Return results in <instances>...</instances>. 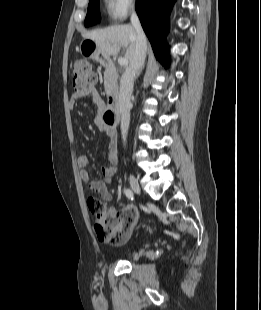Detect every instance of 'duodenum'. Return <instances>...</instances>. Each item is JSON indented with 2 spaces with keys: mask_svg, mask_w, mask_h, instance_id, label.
I'll list each match as a JSON object with an SVG mask.
<instances>
[{
  "mask_svg": "<svg viewBox=\"0 0 261 310\" xmlns=\"http://www.w3.org/2000/svg\"><path fill=\"white\" fill-rule=\"evenodd\" d=\"M105 67L112 73L116 71V68L111 60H105ZM118 122V107L117 99L115 96H109L107 105L103 113V123L113 129Z\"/></svg>",
  "mask_w": 261,
  "mask_h": 310,
  "instance_id": "410a0bca",
  "label": "duodenum"
}]
</instances>
